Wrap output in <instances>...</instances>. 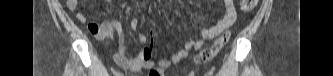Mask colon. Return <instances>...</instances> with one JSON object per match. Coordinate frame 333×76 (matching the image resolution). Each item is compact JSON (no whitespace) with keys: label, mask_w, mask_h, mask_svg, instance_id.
I'll use <instances>...</instances> for the list:
<instances>
[{"label":"colon","mask_w":333,"mask_h":76,"mask_svg":"<svg viewBox=\"0 0 333 76\" xmlns=\"http://www.w3.org/2000/svg\"><path fill=\"white\" fill-rule=\"evenodd\" d=\"M257 3V0H242L240 2V8L244 11L252 10ZM230 39V33L224 32L214 44L202 51L195 58L197 63H205L212 60L221 48H223Z\"/></svg>","instance_id":"colon-1"}]
</instances>
